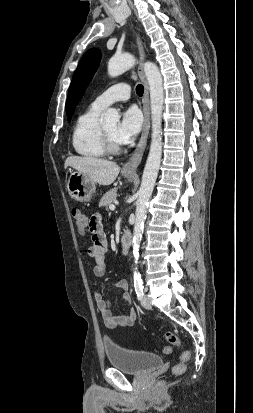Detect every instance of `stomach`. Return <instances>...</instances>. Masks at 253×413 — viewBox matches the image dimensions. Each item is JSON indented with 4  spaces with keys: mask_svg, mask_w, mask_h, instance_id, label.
<instances>
[{
    "mask_svg": "<svg viewBox=\"0 0 253 413\" xmlns=\"http://www.w3.org/2000/svg\"><path fill=\"white\" fill-rule=\"evenodd\" d=\"M129 180H133L132 175H125ZM96 189V183L91 180L86 174L75 171L72 172L67 180V190L69 195L80 202H88L91 200Z\"/></svg>",
    "mask_w": 253,
    "mask_h": 413,
    "instance_id": "0dacf381",
    "label": "stomach"
}]
</instances>
